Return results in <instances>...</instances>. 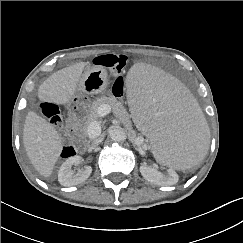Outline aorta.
<instances>
[{
	"label": "aorta",
	"mask_w": 243,
	"mask_h": 243,
	"mask_svg": "<svg viewBox=\"0 0 243 243\" xmlns=\"http://www.w3.org/2000/svg\"><path fill=\"white\" fill-rule=\"evenodd\" d=\"M110 138L115 142H123L126 140L127 136L122 128H114L109 132Z\"/></svg>",
	"instance_id": "aorta-1"
}]
</instances>
